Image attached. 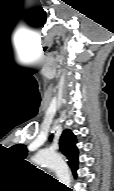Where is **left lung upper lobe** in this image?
I'll return each mask as SVG.
<instances>
[{"mask_svg": "<svg viewBox=\"0 0 114 191\" xmlns=\"http://www.w3.org/2000/svg\"><path fill=\"white\" fill-rule=\"evenodd\" d=\"M52 139V136L50 137ZM76 137L70 130H65L59 140L60 150L68 159V164L71 168L78 165V149L75 145ZM12 153H14L20 159H23L27 155L26 146L23 144H17L12 146Z\"/></svg>", "mask_w": 114, "mask_h": 191, "instance_id": "1", "label": "left lung upper lobe"}]
</instances>
